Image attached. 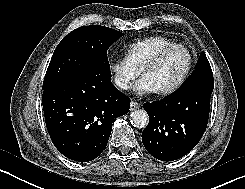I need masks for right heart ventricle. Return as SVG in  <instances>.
<instances>
[{"label":"right heart ventricle","mask_w":245,"mask_h":189,"mask_svg":"<svg viewBox=\"0 0 245 189\" xmlns=\"http://www.w3.org/2000/svg\"><path fill=\"white\" fill-rule=\"evenodd\" d=\"M173 43L174 41L164 35L144 37L126 47V57L137 70L141 71L162 47Z\"/></svg>","instance_id":"right-heart-ventricle-1"}]
</instances>
